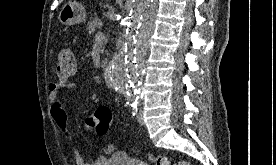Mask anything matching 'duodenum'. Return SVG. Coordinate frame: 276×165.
<instances>
[{"instance_id": "1", "label": "duodenum", "mask_w": 276, "mask_h": 165, "mask_svg": "<svg viewBox=\"0 0 276 165\" xmlns=\"http://www.w3.org/2000/svg\"><path fill=\"white\" fill-rule=\"evenodd\" d=\"M103 76H104V78H105V80L106 81H109L110 79H109V77H110V72H109V69L106 67V68H104V70H103Z\"/></svg>"}]
</instances>
